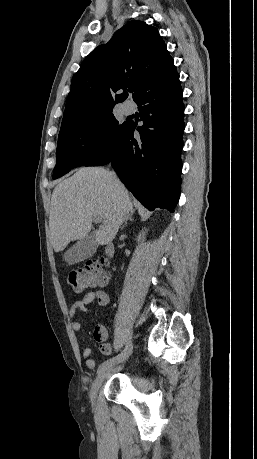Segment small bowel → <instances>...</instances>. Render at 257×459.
<instances>
[{"instance_id":"obj_1","label":"small bowel","mask_w":257,"mask_h":459,"mask_svg":"<svg viewBox=\"0 0 257 459\" xmlns=\"http://www.w3.org/2000/svg\"><path fill=\"white\" fill-rule=\"evenodd\" d=\"M97 301V303L102 306L106 307L110 303L109 295L103 290H90L85 293V295L81 298L76 300L70 310L69 315L70 317H75L80 312H86L88 310V306L93 302ZM73 331L78 332L81 330L82 325L78 321L72 322L71 325ZM93 336L95 341L98 343L100 351L105 354L109 355L112 352L111 346L108 342V332L105 326L98 324L95 326L93 331ZM82 356L85 360L86 366L90 370H94L96 368V362L93 358L92 350L90 347H85L82 350Z\"/></svg>"}]
</instances>
